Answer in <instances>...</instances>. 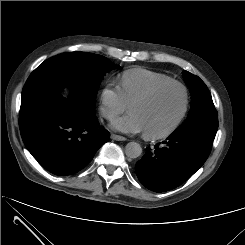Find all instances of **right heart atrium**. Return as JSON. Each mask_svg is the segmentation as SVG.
<instances>
[{
  "label": "right heart atrium",
  "mask_w": 245,
  "mask_h": 245,
  "mask_svg": "<svg viewBox=\"0 0 245 245\" xmlns=\"http://www.w3.org/2000/svg\"><path fill=\"white\" fill-rule=\"evenodd\" d=\"M127 108V103L124 100L120 89L111 84L104 85L99 94V110L101 115L112 120Z\"/></svg>",
  "instance_id": "obj_1"
}]
</instances>
